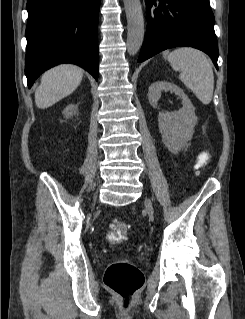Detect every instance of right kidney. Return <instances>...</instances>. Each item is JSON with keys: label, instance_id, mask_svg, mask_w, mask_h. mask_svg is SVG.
I'll list each match as a JSON object with an SVG mask.
<instances>
[{"label": "right kidney", "instance_id": "1", "mask_svg": "<svg viewBox=\"0 0 245 319\" xmlns=\"http://www.w3.org/2000/svg\"><path fill=\"white\" fill-rule=\"evenodd\" d=\"M77 110L78 105L70 104L64 109L63 114L66 118H70L71 116L77 114Z\"/></svg>", "mask_w": 245, "mask_h": 319}]
</instances>
